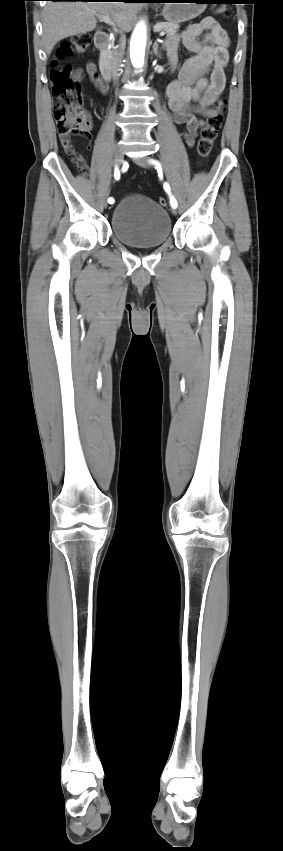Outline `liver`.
<instances>
[{
  "instance_id": "6515ba94",
  "label": "liver",
  "mask_w": 283,
  "mask_h": 851,
  "mask_svg": "<svg viewBox=\"0 0 283 851\" xmlns=\"http://www.w3.org/2000/svg\"><path fill=\"white\" fill-rule=\"evenodd\" d=\"M142 7L131 2L48 1L42 13L45 52L50 55L62 39L94 30L97 13L111 16L120 31L129 32Z\"/></svg>"
}]
</instances>
